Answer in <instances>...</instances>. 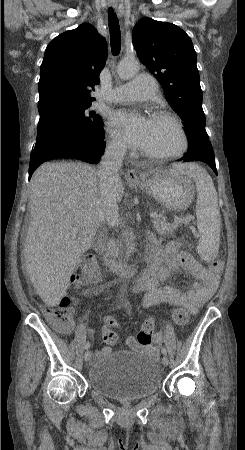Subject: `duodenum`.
<instances>
[{"instance_id": "410a0bca", "label": "duodenum", "mask_w": 245, "mask_h": 450, "mask_svg": "<svg viewBox=\"0 0 245 450\" xmlns=\"http://www.w3.org/2000/svg\"><path fill=\"white\" fill-rule=\"evenodd\" d=\"M105 246L106 248L103 253V261L110 270L118 273L120 277L127 278L133 275L139 269V265H137L136 263L122 262L116 259L114 254L116 241L114 237L111 236V233L105 242Z\"/></svg>"}]
</instances>
